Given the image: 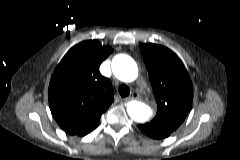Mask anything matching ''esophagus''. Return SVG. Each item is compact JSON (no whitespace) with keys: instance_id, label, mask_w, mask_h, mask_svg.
<instances>
[{"instance_id":"1","label":"esophagus","mask_w":240,"mask_h":160,"mask_svg":"<svg viewBox=\"0 0 240 160\" xmlns=\"http://www.w3.org/2000/svg\"><path fill=\"white\" fill-rule=\"evenodd\" d=\"M140 94L138 91H133L130 97H128L126 100H139Z\"/></svg>"}]
</instances>
